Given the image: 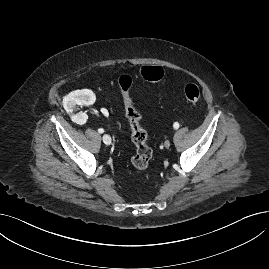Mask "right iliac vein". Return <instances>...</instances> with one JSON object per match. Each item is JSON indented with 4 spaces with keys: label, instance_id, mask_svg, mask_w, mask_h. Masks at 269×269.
<instances>
[{
    "label": "right iliac vein",
    "instance_id": "63e3f726",
    "mask_svg": "<svg viewBox=\"0 0 269 269\" xmlns=\"http://www.w3.org/2000/svg\"><path fill=\"white\" fill-rule=\"evenodd\" d=\"M103 142L106 145H110L111 144V137L108 134L103 135Z\"/></svg>",
    "mask_w": 269,
    "mask_h": 269
}]
</instances>
